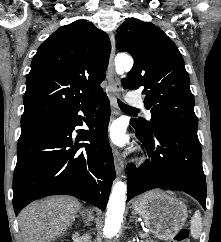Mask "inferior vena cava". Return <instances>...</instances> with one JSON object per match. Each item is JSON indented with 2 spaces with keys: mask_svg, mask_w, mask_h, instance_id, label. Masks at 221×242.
I'll use <instances>...</instances> for the list:
<instances>
[{
  "mask_svg": "<svg viewBox=\"0 0 221 242\" xmlns=\"http://www.w3.org/2000/svg\"><path fill=\"white\" fill-rule=\"evenodd\" d=\"M84 239H85V242H90L89 241V239H90V236L89 235H85Z\"/></svg>",
  "mask_w": 221,
  "mask_h": 242,
  "instance_id": "obj_1",
  "label": "inferior vena cava"
}]
</instances>
